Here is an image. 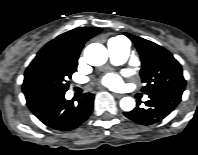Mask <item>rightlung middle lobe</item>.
I'll list each match as a JSON object with an SVG mask.
<instances>
[{
  "label": "right lung middle lobe",
  "instance_id": "1",
  "mask_svg": "<svg viewBox=\"0 0 198 155\" xmlns=\"http://www.w3.org/2000/svg\"><path fill=\"white\" fill-rule=\"evenodd\" d=\"M78 56L60 53L38 54L30 63L24 75V94L56 90L67 91V79L77 68Z\"/></svg>",
  "mask_w": 198,
  "mask_h": 155
}]
</instances>
